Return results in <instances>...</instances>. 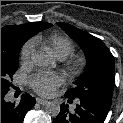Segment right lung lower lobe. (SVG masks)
<instances>
[{
	"label": "right lung lower lobe",
	"mask_w": 123,
	"mask_h": 123,
	"mask_svg": "<svg viewBox=\"0 0 123 123\" xmlns=\"http://www.w3.org/2000/svg\"><path fill=\"white\" fill-rule=\"evenodd\" d=\"M8 92V91H7ZM7 92H1V123H23L25 114L35 105V98L25 93L20 103L5 101Z\"/></svg>",
	"instance_id": "98d812e1"
}]
</instances>
